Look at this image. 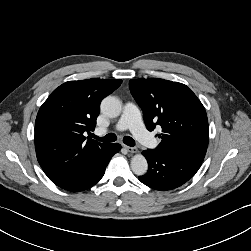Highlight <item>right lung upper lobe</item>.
I'll return each instance as SVG.
<instances>
[{
	"mask_svg": "<svg viewBox=\"0 0 251 251\" xmlns=\"http://www.w3.org/2000/svg\"><path fill=\"white\" fill-rule=\"evenodd\" d=\"M122 80L68 81L56 88L40 107L35 121V148L42 168L77 165L108 144L86 140L94 130L99 105Z\"/></svg>",
	"mask_w": 251,
	"mask_h": 251,
	"instance_id": "cb5924a9",
	"label": "right lung upper lobe"
}]
</instances>
